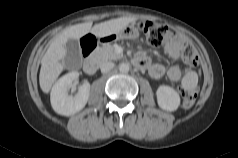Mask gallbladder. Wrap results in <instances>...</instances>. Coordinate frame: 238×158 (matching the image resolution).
Segmentation results:
<instances>
[{
  "label": "gallbladder",
  "instance_id": "gallbladder-1",
  "mask_svg": "<svg viewBox=\"0 0 238 158\" xmlns=\"http://www.w3.org/2000/svg\"><path fill=\"white\" fill-rule=\"evenodd\" d=\"M65 63L69 67H77L82 63V55L79 42L76 39H69L66 42Z\"/></svg>",
  "mask_w": 238,
  "mask_h": 158
}]
</instances>
